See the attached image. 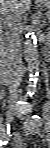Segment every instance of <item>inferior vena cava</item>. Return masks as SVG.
<instances>
[{"label":"inferior vena cava","mask_w":50,"mask_h":148,"mask_svg":"<svg viewBox=\"0 0 50 148\" xmlns=\"http://www.w3.org/2000/svg\"><path fill=\"white\" fill-rule=\"evenodd\" d=\"M4 28L1 36V48L7 57L11 72V85L9 88L10 98L15 100L19 97V85L24 75V69L20 61V39L21 13L19 11H5Z\"/></svg>","instance_id":"1"}]
</instances>
